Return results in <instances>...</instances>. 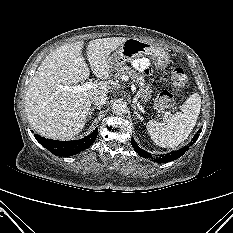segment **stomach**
Returning <instances> with one entry per match:
<instances>
[{
    "label": "stomach",
    "mask_w": 233,
    "mask_h": 233,
    "mask_svg": "<svg viewBox=\"0 0 233 233\" xmlns=\"http://www.w3.org/2000/svg\"><path fill=\"white\" fill-rule=\"evenodd\" d=\"M143 55L153 57L156 67L166 66L169 61L168 54L159 46H156L146 40L128 38L110 57V64L113 69H118L126 62L132 61L133 59ZM150 94V87H144L140 93L142 101H148L151 97Z\"/></svg>",
    "instance_id": "obj_1"
}]
</instances>
